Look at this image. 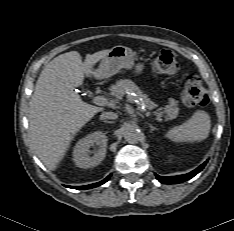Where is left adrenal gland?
I'll list each match as a JSON object with an SVG mask.
<instances>
[{
	"mask_svg": "<svg viewBox=\"0 0 234 231\" xmlns=\"http://www.w3.org/2000/svg\"><path fill=\"white\" fill-rule=\"evenodd\" d=\"M147 124L150 127V132H153V131L157 130V128L154 127L152 124H150V123H147Z\"/></svg>",
	"mask_w": 234,
	"mask_h": 231,
	"instance_id": "obj_1",
	"label": "left adrenal gland"
}]
</instances>
